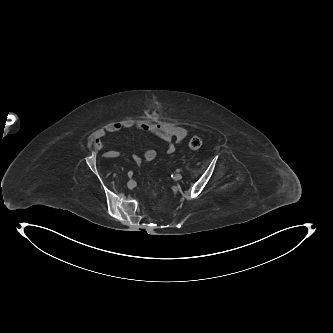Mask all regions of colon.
Returning a JSON list of instances; mask_svg holds the SVG:
<instances>
[{
  "mask_svg": "<svg viewBox=\"0 0 333 333\" xmlns=\"http://www.w3.org/2000/svg\"><path fill=\"white\" fill-rule=\"evenodd\" d=\"M202 146V139L198 136H193L189 141V147L193 150H197Z\"/></svg>",
  "mask_w": 333,
  "mask_h": 333,
  "instance_id": "5ec220e1",
  "label": "colon"
}]
</instances>
